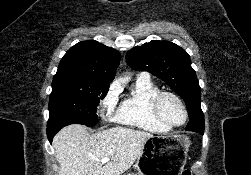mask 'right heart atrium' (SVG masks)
I'll return each mask as SVG.
<instances>
[{"label": "right heart atrium", "instance_id": "1", "mask_svg": "<svg viewBox=\"0 0 251 175\" xmlns=\"http://www.w3.org/2000/svg\"><path fill=\"white\" fill-rule=\"evenodd\" d=\"M119 98V89L115 83H112L98 103L97 111L102 119L108 121L116 119V108L119 102Z\"/></svg>", "mask_w": 251, "mask_h": 175}]
</instances>
